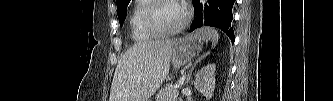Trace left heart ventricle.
<instances>
[{
  "mask_svg": "<svg viewBox=\"0 0 333 101\" xmlns=\"http://www.w3.org/2000/svg\"><path fill=\"white\" fill-rule=\"evenodd\" d=\"M183 18V11L174 2L161 4L155 11V21L163 31H170L176 28Z\"/></svg>",
  "mask_w": 333,
  "mask_h": 101,
  "instance_id": "1",
  "label": "left heart ventricle"
}]
</instances>
